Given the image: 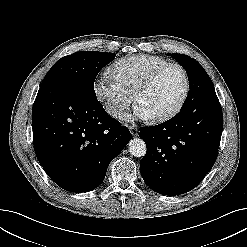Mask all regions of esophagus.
I'll use <instances>...</instances> for the list:
<instances>
[{
    "mask_svg": "<svg viewBox=\"0 0 247 247\" xmlns=\"http://www.w3.org/2000/svg\"><path fill=\"white\" fill-rule=\"evenodd\" d=\"M129 129H130V132H131V134L135 137V136H137L138 135V129L137 128H135V127H129Z\"/></svg>",
    "mask_w": 247,
    "mask_h": 247,
    "instance_id": "34e87169",
    "label": "esophagus"
}]
</instances>
